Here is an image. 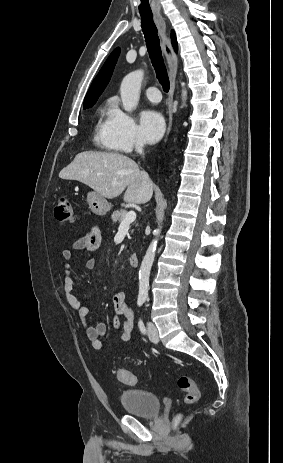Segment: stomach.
<instances>
[{"label":"stomach","instance_id":"1","mask_svg":"<svg viewBox=\"0 0 283 463\" xmlns=\"http://www.w3.org/2000/svg\"><path fill=\"white\" fill-rule=\"evenodd\" d=\"M87 202L90 210L99 216L105 215L111 209V204L106 198L95 191H91L87 194Z\"/></svg>","mask_w":283,"mask_h":463}]
</instances>
